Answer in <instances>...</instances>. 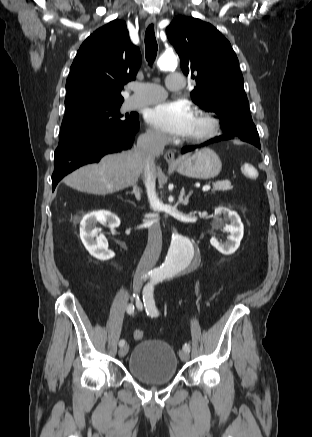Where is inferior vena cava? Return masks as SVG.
I'll return each mask as SVG.
<instances>
[{"instance_id": "obj_1", "label": "inferior vena cava", "mask_w": 312, "mask_h": 437, "mask_svg": "<svg viewBox=\"0 0 312 437\" xmlns=\"http://www.w3.org/2000/svg\"><path fill=\"white\" fill-rule=\"evenodd\" d=\"M166 144V135L157 130H148L139 136L136 150L144 161L143 181L146 187L150 207L159 211L161 202L156 195L155 157L159 155ZM162 249V232L159 218L156 214L149 221L148 243L139 261L137 273H145L153 268Z\"/></svg>"}]
</instances>
